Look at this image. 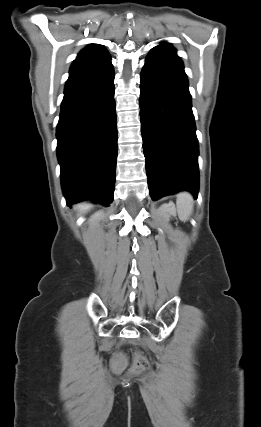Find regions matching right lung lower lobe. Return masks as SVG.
<instances>
[{
	"mask_svg": "<svg viewBox=\"0 0 261 427\" xmlns=\"http://www.w3.org/2000/svg\"><path fill=\"white\" fill-rule=\"evenodd\" d=\"M114 69L67 83L57 125V156L68 204L113 201L117 160Z\"/></svg>",
	"mask_w": 261,
	"mask_h": 427,
	"instance_id": "right-lung-lower-lobe-1",
	"label": "right lung lower lobe"
}]
</instances>
